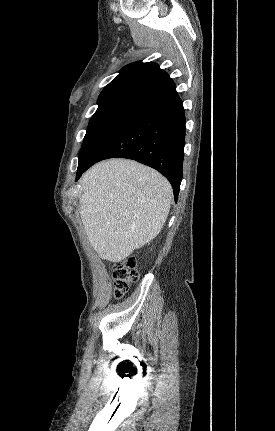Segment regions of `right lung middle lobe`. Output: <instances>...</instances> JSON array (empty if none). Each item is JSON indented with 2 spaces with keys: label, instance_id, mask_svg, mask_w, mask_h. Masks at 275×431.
Wrapping results in <instances>:
<instances>
[{
  "label": "right lung middle lobe",
  "instance_id": "right-lung-middle-lobe-1",
  "mask_svg": "<svg viewBox=\"0 0 275 431\" xmlns=\"http://www.w3.org/2000/svg\"><path fill=\"white\" fill-rule=\"evenodd\" d=\"M135 112L134 110H113L94 114L84 137L77 170L86 166Z\"/></svg>",
  "mask_w": 275,
  "mask_h": 431
}]
</instances>
